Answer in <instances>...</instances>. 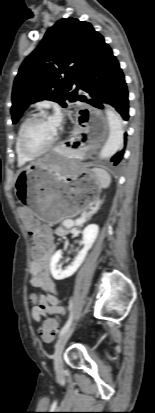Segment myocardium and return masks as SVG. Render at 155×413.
<instances>
[{
	"label": "myocardium",
	"mask_w": 155,
	"mask_h": 413,
	"mask_svg": "<svg viewBox=\"0 0 155 413\" xmlns=\"http://www.w3.org/2000/svg\"><path fill=\"white\" fill-rule=\"evenodd\" d=\"M43 120H48V116L46 114H36V115L32 116L31 118H29L27 120V122L23 125L22 129H21L20 137H19L20 148H21V151L23 152V154L27 157L37 158V157L47 153L48 151H50L51 149L54 148V146H55V144L58 140V134H56L54 139L46 147H44L40 150H33L27 145V133H28L29 129L36 122L43 121Z\"/></svg>",
	"instance_id": "myocardium-1"
}]
</instances>
